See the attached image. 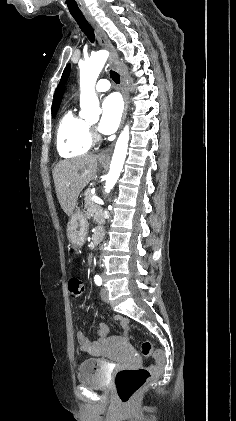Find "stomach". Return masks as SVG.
Returning <instances> with one entry per match:
<instances>
[{
	"instance_id": "1",
	"label": "stomach",
	"mask_w": 236,
	"mask_h": 421,
	"mask_svg": "<svg viewBox=\"0 0 236 421\" xmlns=\"http://www.w3.org/2000/svg\"><path fill=\"white\" fill-rule=\"evenodd\" d=\"M102 166H106L107 162L104 160H99ZM89 229V223L81 211H74L72 215L69 217L68 225H67V239L69 243H71L72 247L75 249H79V247H83L87 233Z\"/></svg>"
}]
</instances>
